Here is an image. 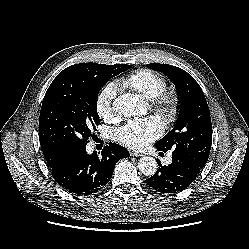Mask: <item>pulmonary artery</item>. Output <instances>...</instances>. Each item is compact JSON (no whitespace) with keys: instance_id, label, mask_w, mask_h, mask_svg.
<instances>
[{"instance_id":"e3ab8cb5","label":"pulmonary artery","mask_w":249,"mask_h":249,"mask_svg":"<svg viewBox=\"0 0 249 249\" xmlns=\"http://www.w3.org/2000/svg\"><path fill=\"white\" fill-rule=\"evenodd\" d=\"M172 162V158H171V156H169L168 158H167V163H171Z\"/></svg>"}]
</instances>
